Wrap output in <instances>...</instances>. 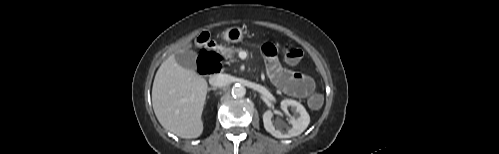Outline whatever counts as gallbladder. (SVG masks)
<instances>
[{
	"label": "gallbladder",
	"instance_id": "bac80fb5",
	"mask_svg": "<svg viewBox=\"0 0 499 154\" xmlns=\"http://www.w3.org/2000/svg\"><path fill=\"white\" fill-rule=\"evenodd\" d=\"M191 46V43H188L187 47ZM196 57V52L191 50L178 51L175 53V60L177 64L192 70L196 69Z\"/></svg>",
	"mask_w": 499,
	"mask_h": 154
}]
</instances>
